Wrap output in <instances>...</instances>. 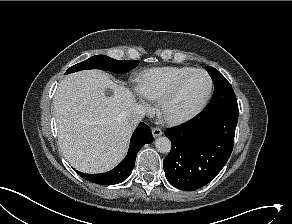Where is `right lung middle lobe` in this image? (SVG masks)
Instances as JSON below:
<instances>
[{
	"instance_id": "1",
	"label": "right lung middle lobe",
	"mask_w": 292,
	"mask_h": 224,
	"mask_svg": "<svg viewBox=\"0 0 292 224\" xmlns=\"http://www.w3.org/2000/svg\"><path fill=\"white\" fill-rule=\"evenodd\" d=\"M138 60H115L105 55H96L70 67L65 74L86 69H102L115 73H125L135 68Z\"/></svg>"
}]
</instances>
